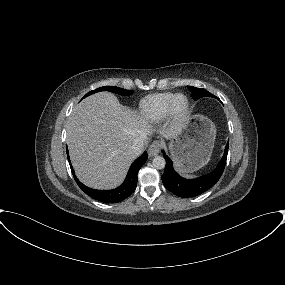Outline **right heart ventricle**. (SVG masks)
Segmentation results:
<instances>
[{"label":"right heart ventricle","mask_w":285,"mask_h":285,"mask_svg":"<svg viewBox=\"0 0 285 285\" xmlns=\"http://www.w3.org/2000/svg\"><path fill=\"white\" fill-rule=\"evenodd\" d=\"M174 93H159L149 96L141 103V112L145 119L158 123L170 114V104L175 97Z\"/></svg>","instance_id":"obj_1"}]
</instances>
